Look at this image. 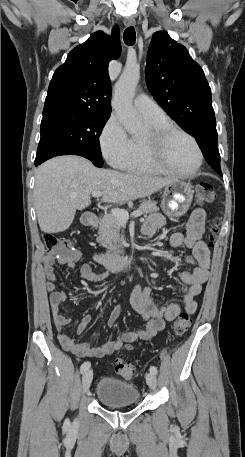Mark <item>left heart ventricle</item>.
I'll return each instance as SVG.
<instances>
[{
    "label": "left heart ventricle",
    "instance_id": "obj_1",
    "mask_svg": "<svg viewBox=\"0 0 245 457\" xmlns=\"http://www.w3.org/2000/svg\"><path fill=\"white\" fill-rule=\"evenodd\" d=\"M148 131L143 135L146 136ZM191 142L182 134L172 135L166 144L160 145L150 138L152 157L164 166L178 171H190L197 162Z\"/></svg>",
    "mask_w": 245,
    "mask_h": 457
}]
</instances>
